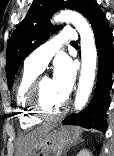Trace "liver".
I'll return each mask as SVG.
<instances>
[{
	"label": "liver",
	"mask_w": 114,
	"mask_h": 156,
	"mask_svg": "<svg viewBox=\"0 0 114 156\" xmlns=\"http://www.w3.org/2000/svg\"><path fill=\"white\" fill-rule=\"evenodd\" d=\"M51 127L52 125L50 124H43L21 136L17 141L16 156H28L46 136Z\"/></svg>",
	"instance_id": "6515ba94"
}]
</instances>
